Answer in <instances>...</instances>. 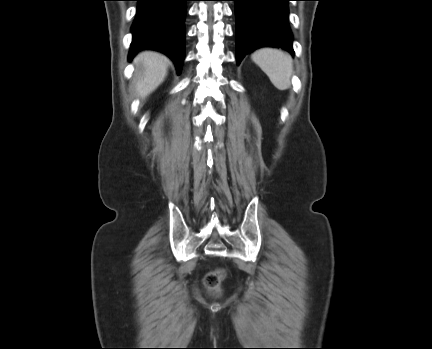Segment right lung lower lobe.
<instances>
[{
  "mask_svg": "<svg viewBox=\"0 0 432 349\" xmlns=\"http://www.w3.org/2000/svg\"><path fill=\"white\" fill-rule=\"evenodd\" d=\"M136 1L139 4L132 26L129 60L141 50H157L169 56L180 73L184 60V18L188 0Z\"/></svg>",
  "mask_w": 432,
  "mask_h": 349,
  "instance_id": "obj_1",
  "label": "right lung lower lobe"
}]
</instances>
